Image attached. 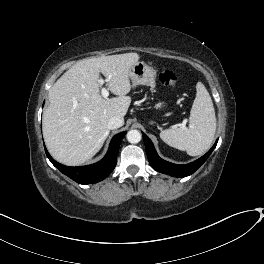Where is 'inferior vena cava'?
<instances>
[{"label": "inferior vena cava", "instance_id": "inferior-vena-cava-1", "mask_svg": "<svg viewBox=\"0 0 264 264\" xmlns=\"http://www.w3.org/2000/svg\"><path fill=\"white\" fill-rule=\"evenodd\" d=\"M124 124V120L120 117L113 116L108 121V128L109 129H116L121 127Z\"/></svg>", "mask_w": 264, "mask_h": 264}]
</instances>
